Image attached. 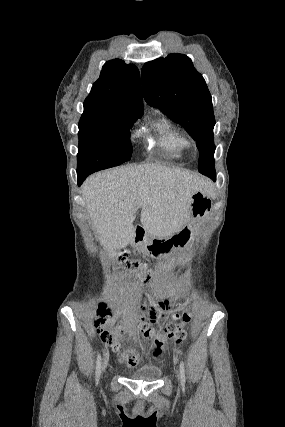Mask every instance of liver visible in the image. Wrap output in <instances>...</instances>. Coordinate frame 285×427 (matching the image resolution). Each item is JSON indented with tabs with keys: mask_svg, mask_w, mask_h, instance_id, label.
Returning <instances> with one entry per match:
<instances>
[{
	"mask_svg": "<svg viewBox=\"0 0 285 427\" xmlns=\"http://www.w3.org/2000/svg\"><path fill=\"white\" fill-rule=\"evenodd\" d=\"M197 191L211 194L213 184L188 170L154 163L101 171L82 185L86 210L112 256L133 241L138 208L146 232L168 237L190 221L191 196Z\"/></svg>",
	"mask_w": 285,
	"mask_h": 427,
	"instance_id": "obj_1",
	"label": "liver"
}]
</instances>
